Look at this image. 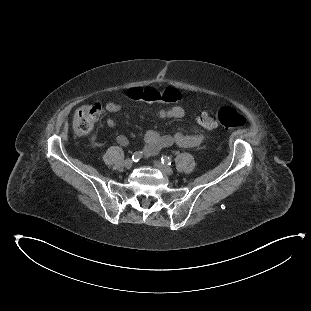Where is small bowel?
<instances>
[{"instance_id": "c3829d8e", "label": "small bowel", "mask_w": 311, "mask_h": 311, "mask_svg": "<svg viewBox=\"0 0 311 311\" xmlns=\"http://www.w3.org/2000/svg\"><path fill=\"white\" fill-rule=\"evenodd\" d=\"M105 109L109 113H115L122 109V105L114 101H109L105 104ZM154 114L159 118L179 119L184 116L185 112L180 106H170L155 109ZM106 124L109 127H115L116 121L109 117L106 119ZM117 141L122 146L127 144V138L124 135H119ZM204 141L205 135L201 126L194 128L190 133L179 131L174 135H162L156 131H148L144 136L145 154L151 156L173 144L183 147H199Z\"/></svg>"}]
</instances>
